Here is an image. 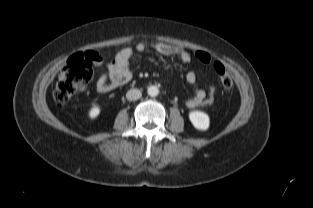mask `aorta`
<instances>
[{
	"label": "aorta",
	"instance_id": "aorta-1",
	"mask_svg": "<svg viewBox=\"0 0 313 208\" xmlns=\"http://www.w3.org/2000/svg\"><path fill=\"white\" fill-rule=\"evenodd\" d=\"M147 92H148V95L155 97L159 94V89L157 86H150L148 87Z\"/></svg>",
	"mask_w": 313,
	"mask_h": 208
}]
</instances>
